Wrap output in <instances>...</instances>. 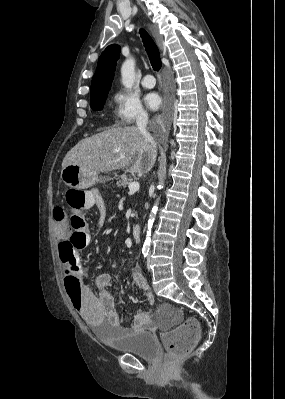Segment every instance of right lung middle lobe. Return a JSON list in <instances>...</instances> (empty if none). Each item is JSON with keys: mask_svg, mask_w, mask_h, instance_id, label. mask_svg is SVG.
Here are the masks:
<instances>
[{"mask_svg": "<svg viewBox=\"0 0 285 399\" xmlns=\"http://www.w3.org/2000/svg\"><path fill=\"white\" fill-rule=\"evenodd\" d=\"M108 92L101 93L91 98L90 106L94 111L102 110L104 102L107 98Z\"/></svg>", "mask_w": 285, "mask_h": 399, "instance_id": "1", "label": "right lung middle lobe"}]
</instances>
